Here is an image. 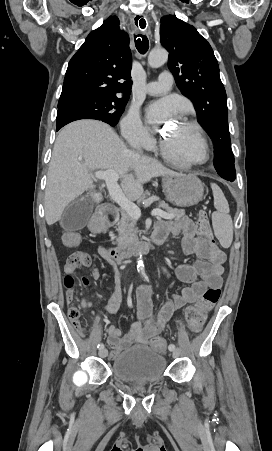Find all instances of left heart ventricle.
<instances>
[{
	"label": "left heart ventricle",
	"instance_id": "obj_1",
	"mask_svg": "<svg viewBox=\"0 0 272 451\" xmlns=\"http://www.w3.org/2000/svg\"><path fill=\"white\" fill-rule=\"evenodd\" d=\"M167 141L183 158L195 157L198 153L193 132L182 123L175 126Z\"/></svg>",
	"mask_w": 272,
	"mask_h": 451
}]
</instances>
